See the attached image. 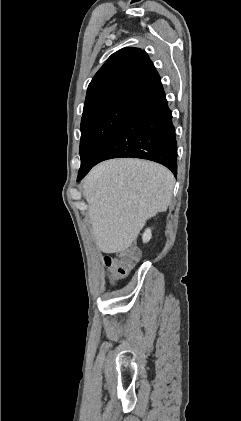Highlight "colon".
<instances>
[{"instance_id": "obj_1", "label": "colon", "mask_w": 241, "mask_h": 421, "mask_svg": "<svg viewBox=\"0 0 241 421\" xmlns=\"http://www.w3.org/2000/svg\"><path fill=\"white\" fill-rule=\"evenodd\" d=\"M132 3L140 2L141 0H130ZM138 254L133 248L121 250L116 256H105L104 263L109 269L110 277L112 279H120L125 277L133 268L137 261Z\"/></svg>"}]
</instances>
